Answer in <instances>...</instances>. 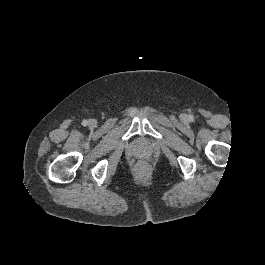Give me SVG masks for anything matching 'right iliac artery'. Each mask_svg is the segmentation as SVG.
<instances>
[{"mask_svg": "<svg viewBox=\"0 0 265 265\" xmlns=\"http://www.w3.org/2000/svg\"><path fill=\"white\" fill-rule=\"evenodd\" d=\"M82 125H83V126H87V125H88V121H87V120H83V121H82Z\"/></svg>", "mask_w": 265, "mask_h": 265, "instance_id": "obj_1", "label": "right iliac artery"}]
</instances>
